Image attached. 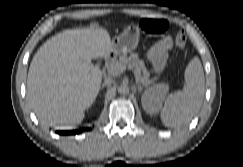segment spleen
<instances>
[{
    "label": "spleen",
    "instance_id": "obj_1",
    "mask_svg": "<svg viewBox=\"0 0 243 167\" xmlns=\"http://www.w3.org/2000/svg\"><path fill=\"white\" fill-rule=\"evenodd\" d=\"M184 77L183 90L170 94L161 109L160 117L167 127H181L188 124L202 106L205 78L198 57H194L188 63Z\"/></svg>",
    "mask_w": 243,
    "mask_h": 167
}]
</instances>
